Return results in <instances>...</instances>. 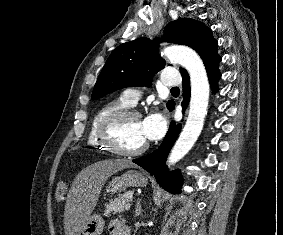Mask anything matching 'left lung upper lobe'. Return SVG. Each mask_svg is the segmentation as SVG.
<instances>
[{
    "mask_svg": "<svg viewBox=\"0 0 283 235\" xmlns=\"http://www.w3.org/2000/svg\"><path fill=\"white\" fill-rule=\"evenodd\" d=\"M164 40L183 44L194 49L202 58L206 69L219 63L217 41L212 37L211 29L203 23L178 18L165 28ZM159 40L138 38L118 46L105 63L92 92V100L101 98L115 90L130 86H149L155 73L161 70L165 61L158 55ZM182 76L188 75L183 68ZM174 102L169 101V110Z\"/></svg>",
    "mask_w": 283,
    "mask_h": 235,
    "instance_id": "5c2ea615",
    "label": "left lung upper lobe"
}]
</instances>
